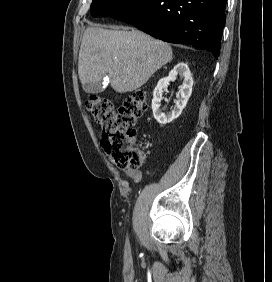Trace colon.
<instances>
[{
  "mask_svg": "<svg viewBox=\"0 0 272 282\" xmlns=\"http://www.w3.org/2000/svg\"><path fill=\"white\" fill-rule=\"evenodd\" d=\"M86 107L95 121L106 132L101 145L111 162L122 169H136L144 163V153L134 144L136 119L147 109L145 93L136 91L122 104L115 107L113 103L101 97H92Z\"/></svg>",
  "mask_w": 272,
  "mask_h": 282,
  "instance_id": "1",
  "label": "colon"
}]
</instances>
